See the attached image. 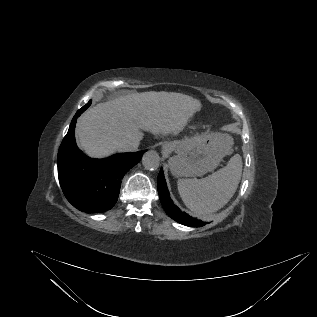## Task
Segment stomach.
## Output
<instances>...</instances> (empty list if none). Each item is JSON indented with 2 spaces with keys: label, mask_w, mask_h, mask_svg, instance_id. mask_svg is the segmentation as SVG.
I'll return each instance as SVG.
<instances>
[{
  "label": "stomach",
  "mask_w": 317,
  "mask_h": 317,
  "mask_svg": "<svg viewBox=\"0 0 317 317\" xmlns=\"http://www.w3.org/2000/svg\"><path fill=\"white\" fill-rule=\"evenodd\" d=\"M232 145L233 139L228 134L209 133L166 142L163 149L176 153L169 159L174 176L196 177L215 169Z\"/></svg>",
  "instance_id": "1"
}]
</instances>
